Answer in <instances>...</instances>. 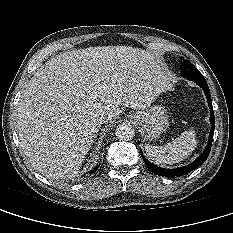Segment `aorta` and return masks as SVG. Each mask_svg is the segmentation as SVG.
<instances>
[{
    "label": "aorta",
    "instance_id": "1",
    "mask_svg": "<svg viewBox=\"0 0 233 233\" xmlns=\"http://www.w3.org/2000/svg\"><path fill=\"white\" fill-rule=\"evenodd\" d=\"M134 131V128L130 124L122 123L119 124L116 128V136L120 140L129 141L133 139L135 135Z\"/></svg>",
    "mask_w": 233,
    "mask_h": 233
}]
</instances>
